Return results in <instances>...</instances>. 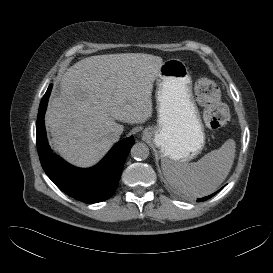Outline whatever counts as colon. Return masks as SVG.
Listing matches in <instances>:
<instances>
[{"label":"colon","mask_w":273,"mask_h":273,"mask_svg":"<svg viewBox=\"0 0 273 273\" xmlns=\"http://www.w3.org/2000/svg\"><path fill=\"white\" fill-rule=\"evenodd\" d=\"M195 95L204 106L203 120L210 130L222 128L229 120L226 106L219 102L220 91L218 86L207 78H200L195 82Z\"/></svg>","instance_id":"5ec220e1"}]
</instances>
